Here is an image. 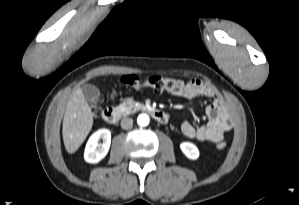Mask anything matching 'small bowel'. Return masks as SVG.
Returning a JSON list of instances; mask_svg holds the SVG:
<instances>
[{
  "label": "small bowel",
  "mask_w": 299,
  "mask_h": 205,
  "mask_svg": "<svg viewBox=\"0 0 299 205\" xmlns=\"http://www.w3.org/2000/svg\"><path fill=\"white\" fill-rule=\"evenodd\" d=\"M175 95L185 99L215 98L204 110L208 119L205 125L196 127L189 121H184L181 124V132L184 136L216 143L223 140L224 135L231 130L232 122L229 109L224 100L217 97L216 91L210 84L201 80H192L181 90L175 91Z\"/></svg>",
  "instance_id": "1"
}]
</instances>
